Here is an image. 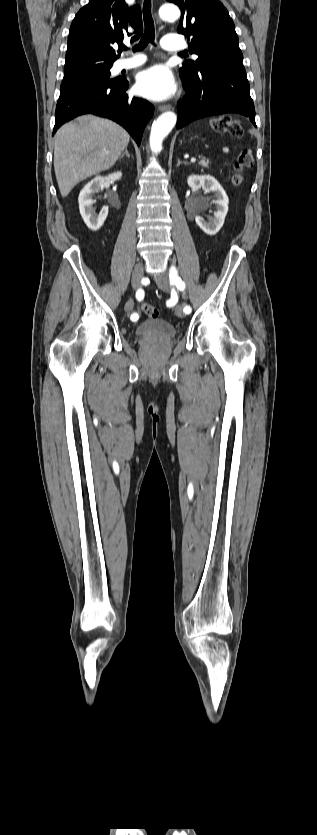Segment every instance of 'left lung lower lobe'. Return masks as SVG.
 <instances>
[{
    "instance_id": "obj_1",
    "label": "left lung lower lobe",
    "mask_w": 317,
    "mask_h": 835,
    "mask_svg": "<svg viewBox=\"0 0 317 835\" xmlns=\"http://www.w3.org/2000/svg\"><path fill=\"white\" fill-rule=\"evenodd\" d=\"M180 76L186 95L177 105L178 129L197 119L225 113L244 115L256 127L254 104L241 61H212L197 74Z\"/></svg>"
}]
</instances>
